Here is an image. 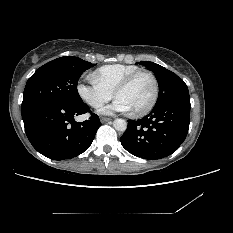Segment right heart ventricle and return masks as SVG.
<instances>
[{"mask_svg": "<svg viewBox=\"0 0 233 233\" xmlns=\"http://www.w3.org/2000/svg\"><path fill=\"white\" fill-rule=\"evenodd\" d=\"M138 70H140V68L136 65L110 64L97 69L90 75V78L113 92L123 79Z\"/></svg>", "mask_w": 233, "mask_h": 233, "instance_id": "right-heart-ventricle-1", "label": "right heart ventricle"}]
</instances>
